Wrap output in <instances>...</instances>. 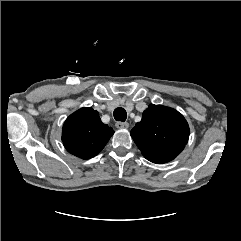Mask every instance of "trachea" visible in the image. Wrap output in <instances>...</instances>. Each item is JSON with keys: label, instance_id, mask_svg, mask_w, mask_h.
<instances>
[{"label": "trachea", "instance_id": "1", "mask_svg": "<svg viewBox=\"0 0 241 241\" xmlns=\"http://www.w3.org/2000/svg\"><path fill=\"white\" fill-rule=\"evenodd\" d=\"M113 115L116 121L124 122L127 118V113L123 108H116Z\"/></svg>", "mask_w": 241, "mask_h": 241}]
</instances>
